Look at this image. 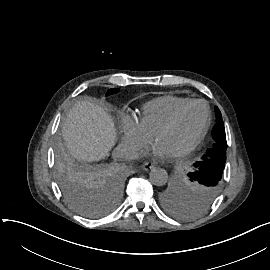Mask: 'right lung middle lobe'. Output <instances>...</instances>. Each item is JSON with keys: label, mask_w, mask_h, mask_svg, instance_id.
I'll return each instance as SVG.
<instances>
[{"label": "right lung middle lobe", "mask_w": 270, "mask_h": 270, "mask_svg": "<svg viewBox=\"0 0 270 270\" xmlns=\"http://www.w3.org/2000/svg\"><path fill=\"white\" fill-rule=\"evenodd\" d=\"M117 92L119 89H110L106 96ZM56 178L67 204L76 212L91 218L105 212V208L94 204L97 189L106 188L112 198H117L121 191V179L115 170L82 167L64 155L58 158Z\"/></svg>", "instance_id": "right-lung-middle-lobe-1"}]
</instances>
